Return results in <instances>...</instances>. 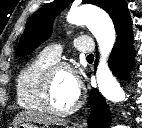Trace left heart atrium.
Masks as SVG:
<instances>
[{
    "label": "left heart atrium",
    "mask_w": 142,
    "mask_h": 128,
    "mask_svg": "<svg viewBox=\"0 0 142 128\" xmlns=\"http://www.w3.org/2000/svg\"><path fill=\"white\" fill-rule=\"evenodd\" d=\"M71 79H72V82L74 83V85L79 88V79L77 77V75L73 72H71Z\"/></svg>",
    "instance_id": "left-heart-atrium-1"
}]
</instances>
